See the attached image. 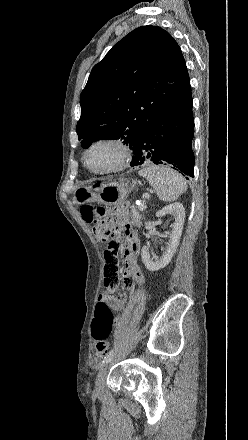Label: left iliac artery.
<instances>
[{"mask_svg": "<svg viewBox=\"0 0 248 440\" xmlns=\"http://www.w3.org/2000/svg\"><path fill=\"white\" fill-rule=\"evenodd\" d=\"M114 356V351L110 350L104 357L102 363L108 362L109 360H111Z\"/></svg>", "mask_w": 248, "mask_h": 440, "instance_id": "44dca946", "label": "left iliac artery"}]
</instances>
